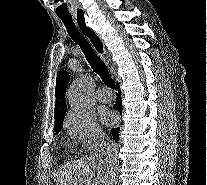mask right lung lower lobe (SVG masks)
Wrapping results in <instances>:
<instances>
[{"label":"right lung lower lobe","mask_w":207,"mask_h":185,"mask_svg":"<svg viewBox=\"0 0 207 185\" xmlns=\"http://www.w3.org/2000/svg\"><path fill=\"white\" fill-rule=\"evenodd\" d=\"M117 88H118V90H119V94H118V96H117V100H116V105H115V107H116V109L118 110V111H120V113L122 112V101H121V98L119 97V95H120V88H119V85L117 84ZM111 133H112V136H113V138H114V140L116 141V142H118V137H119V128H113V129H111Z\"/></svg>","instance_id":"1"}]
</instances>
